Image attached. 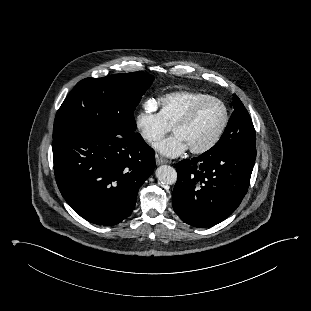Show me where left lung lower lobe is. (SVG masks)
Wrapping results in <instances>:
<instances>
[{"label":"left lung lower lobe","mask_w":311,"mask_h":311,"mask_svg":"<svg viewBox=\"0 0 311 311\" xmlns=\"http://www.w3.org/2000/svg\"><path fill=\"white\" fill-rule=\"evenodd\" d=\"M255 158V146L240 145L178 162L172 194L176 214L195 227L225 220L248 190Z\"/></svg>","instance_id":"left-lung-lower-lobe-1"}]
</instances>
